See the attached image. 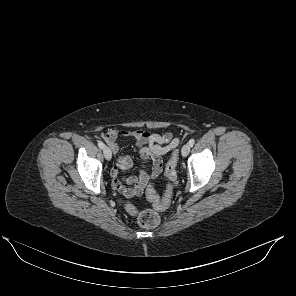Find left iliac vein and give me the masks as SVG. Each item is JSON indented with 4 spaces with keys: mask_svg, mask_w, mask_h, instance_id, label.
<instances>
[{
    "mask_svg": "<svg viewBox=\"0 0 296 296\" xmlns=\"http://www.w3.org/2000/svg\"><path fill=\"white\" fill-rule=\"evenodd\" d=\"M181 152H182V155H183L184 157L187 156V155L189 154V152H190V145H189L188 143L185 144V145L182 147Z\"/></svg>",
    "mask_w": 296,
    "mask_h": 296,
    "instance_id": "obj_1",
    "label": "left iliac vein"
}]
</instances>
